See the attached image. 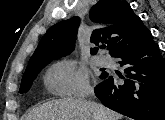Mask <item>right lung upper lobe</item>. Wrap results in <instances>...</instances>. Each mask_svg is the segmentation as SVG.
Masks as SVG:
<instances>
[{"label": "right lung upper lobe", "mask_w": 165, "mask_h": 120, "mask_svg": "<svg viewBox=\"0 0 165 120\" xmlns=\"http://www.w3.org/2000/svg\"><path fill=\"white\" fill-rule=\"evenodd\" d=\"M89 17L95 26L91 43H107L112 57L150 32L124 0H100L91 8ZM79 23L78 17H72L51 26L28 65L45 59H57L71 53L75 47ZM97 51L98 48H91V54H96Z\"/></svg>", "instance_id": "obj_1"}]
</instances>
